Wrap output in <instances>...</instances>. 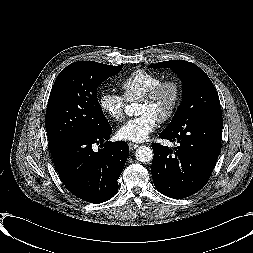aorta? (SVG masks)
Returning <instances> with one entry per match:
<instances>
[{
  "instance_id": "aorta-1",
  "label": "aorta",
  "mask_w": 253,
  "mask_h": 253,
  "mask_svg": "<svg viewBox=\"0 0 253 253\" xmlns=\"http://www.w3.org/2000/svg\"><path fill=\"white\" fill-rule=\"evenodd\" d=\"M125 112L127 115L132 116L134 110L131 106H126ZM153 155V150L148 146H140L135 152L136 159L142 163L152 161Z\"/></svg>"
}]
</instances>
